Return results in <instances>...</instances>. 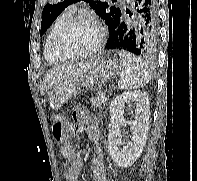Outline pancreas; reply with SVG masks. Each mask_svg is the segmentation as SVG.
<instances>
[{
	"label": "pancreas",
	"instance_id": "cf45deb5",
	"mask_svg": "<svg viewBox=\"0 0 197 181\" xmlns=\"http://www.w3.org/2000/svg\"><path fill=\"white\" fill-rule=\"evenodd\" d=\"M90 103L93 107H96V108L97 107L101 108V105H102V101L100 97L91 98Z\"/></svg>",
	"mask_w": 197,
	"mask_h": 181
}]
</instances>
